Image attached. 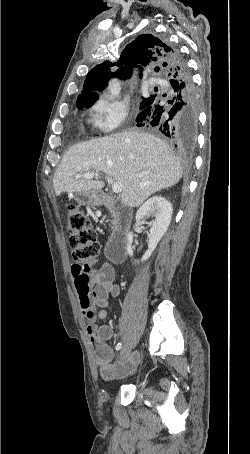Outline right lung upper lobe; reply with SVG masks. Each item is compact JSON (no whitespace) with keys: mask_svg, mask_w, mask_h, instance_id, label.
<instances>
[{"mask_svg":"<svg viewBox=\"0 0 250 454\" xmlns=\"http://www.w3.org/2000/svg\"><path fill=\"white\" fill-rule=\"evenodd\" d=\"M138 64L140 65L138 66ZM141 65H158L155 67V71L165 76L171 66L167 42L151 34L138 36L135 41L123 49L118 61H104L90 70L77 103L95 102L98 99L96 91L104 89L109 78L119 74L120 79H128L132 74V68L143 69ZM114 66L119 67L116 72L112 71ZM141 76L142 74H140Z\"/></svg>","mask_w":250,"mask_h":454,"instance_id":"right-lung-upper-lobe-1","label":"right lung upper lobe"}]
</instances>
